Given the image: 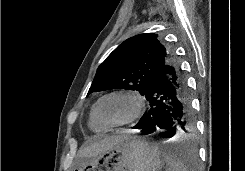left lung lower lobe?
<instances>
[{"instance_id": "left-lung-lower-lobe-1", "label": "left lung lower lobe", "mask_w": 245, "mask_h": 171, "mask_svg": "<svg viewBox=\"0 0 245 171\" xmlns=\"http://www.w3.org/2000/svg\"><path fill=\"white\" fill-rule=\"evenodd\" d=\"M144 95L150 108L133 127L141 130L142 135L162 129L163 137L172 138L191 129L192 108L187 81L172 58ZM182 156L185 162H196V157L189 151H185Z\"/></svg>"}]
</instances>
